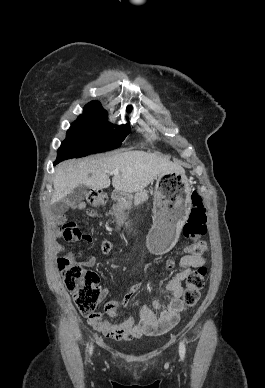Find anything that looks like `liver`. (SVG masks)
I'll return each mask as SVG.
<instances>
[{"label": "liver", "instance_id": "6515ba94", "mask_svg": "<svg viewBox=\"0 0 265 388\" xmlns=\"http://www.w3.org/2000/svg\"><path fill=\"white\" fill-rule=\"evenodd\" d=\"M119 170L114 176L112 186L119 192H139L147 188L159 174H173L184 172L181 166L156 156L149 152H124L116 156H102V158H85L77 164L59 166L53 178L54 194L51 204L61 202L77 186H88L91 190L109 188L108 174Z\"/></svg>", "mask_w": 265, "mask_h": 388}]
</instances>
